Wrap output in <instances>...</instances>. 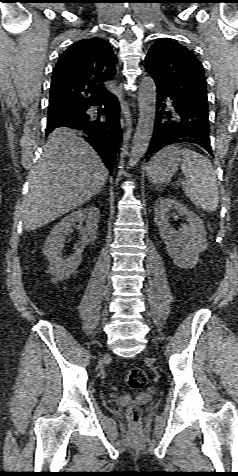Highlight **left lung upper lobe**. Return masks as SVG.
Returning a JSON list of instances; mask_svg holds the SVG:
<instances>
[{
  "instance_id": "1",
  "label": "left lung upper lobe",
  "mask_w": 238,
  "mask_h": 476,
  "mask_svg": "<svg viewBox=\"0 0 238 476\" xmlns=\"http://www.w3.org/2000/svg\"><path fill=\"white\" fill-rule=\"evenodd\" d=\"M146 72L164 91L181 103L208 110L206 78L203 66L186 47L161 38L146 56Z\"/></svg>"
}]
</instances>
